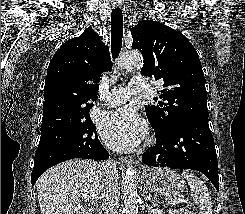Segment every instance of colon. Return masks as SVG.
Masks as SVG:
<instances>
[{
    "instance_id": "obj_1",
    "label": "colon",
    "mask_w": 245,
    "mask_h": 214,
    "mask_svg": "<svg viewBox=\"0 0 245 214\" xmlns=\"http://www.w3.org/2000/svg\"><path fill=\"white\" fill-rule=\"evenodd\" d=\"M181 214H194V213L189 210H183Z\"/></svg>"
}]
</instances>
